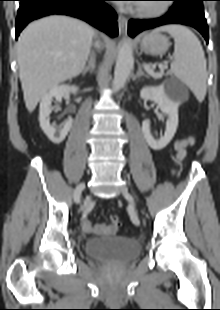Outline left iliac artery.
<instances>
[{"label": "left iliac artery", "mask_w": 220, "mask_h": 310, "mask_svg": "<svg viewBox=\"0 0 220 310\" xmlns=\"http://www.w3.org/2000/svg\"><path fill=\"white\" fill-rule=\"evenodd\" d=\"M127 211H128V214L130 216V219H131L132 223L138 226L140 224V220H139V218L137 216V213H136L133 205H128L127 206Z\"/></svg>", "instance_id": "1"}]
</instances>
